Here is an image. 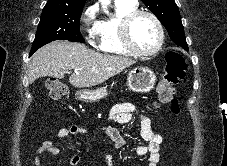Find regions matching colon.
Here are the masks:
<instances>
[{"label": "colon", "instance_id": "1", "mask_svg": "<svg viewBox=\"0 0 227 166\" xmlns=\"http://www.w3.org/2000/svg\"><path fill=\"white\" fill-rule=\"evenodd\" d=\"M186 63L178 51H170L166 57V66L162 80L157 85V95L161 103L171 104V111L179 113V106L175 99L176 85L184 79ZM47 88L51 99L58 100L66 93V86L56 79L47 81Z\"/></svg>", "mask_w": 227, "mask_h": 166}]
</instances>
